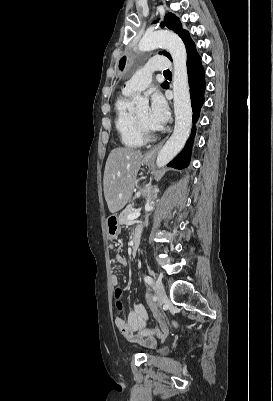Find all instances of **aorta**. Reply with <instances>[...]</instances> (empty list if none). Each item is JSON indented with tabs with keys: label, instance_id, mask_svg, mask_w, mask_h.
I'll use <instances>...</instances> for the list:
<instances>
[{
	"label": "aorta",
	"instance_id": "1",
	"mask_svg": "<svg viewBox=\"0 0 273 401\" xmlns=\"http://www.w3.org/2000/svg\"><path fill=\"white\" fill-rule=\"evenodd\" d=\"M163 47L170 53L173 72V102L175 126L171 137L159 151L156 165L158 168L169 163L185 145L192 127V107L187 73V53L181 38L169 31L146 33L139 42V50L151 51ZM138 110L148 107V100L140 95L134 97Z\"/></svg>",
	"mask_w": 273,
	"mask_h": 401
}]
</instances>
